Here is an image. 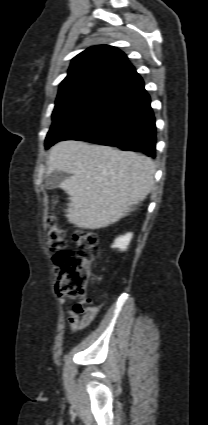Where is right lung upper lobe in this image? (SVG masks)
Returning <instances> with one entry per match:
<instances>
[{
  "label": "right lung upper lobe",
  "mask_w": 208,
  "mask_h": 425,
  "mask_svg": "<svg viewBox=\"0 0 208 425\" xmlns=\"http://www.w3.org/2000/svg\"><path fill=\"white\" fill-rule=\"evenodd\" d=\"M131 67L126 55L116 47H90L72 59L57 100L80 91H102Z\"/></svg>",
  "instance_id": "cb5924a9"
}]
</instances>
